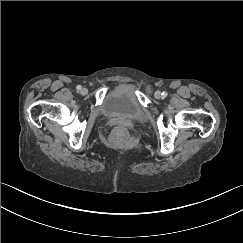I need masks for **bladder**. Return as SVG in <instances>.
<instances>
[{
	"label": "bladder",
	"mask_w": 243,
	"mask_h": 243,
	"mask_svg": "<svg viewBox=\"0 0 243 243\" xmlns=\"http://www.w3.org/2000/svg\"><path fill=\"white\" fill-rule=\"evenodd\" d=\"M100 114L109 119L143 121L146 112L141 105L137 88L133 83L124 82L109 91L99 105Z\"/></svg>",
	"instance_id": "bladder-1"
}]
</instances>
